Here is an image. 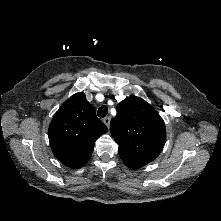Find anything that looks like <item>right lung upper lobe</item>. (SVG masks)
<instances>
[{
  "label": "right lung upper lobe",
  "mask_w": 221,
  "mask_h": 221,
  "mask_svg": "<svg viewBox=\"0 0 221 221\" xmlns=\"http://www.w3.org/2000/svg\"><path fill=\"white\" fill-rule=\"evenodd\" d=\"M107 131L85 94L79 92L65 101L55 113L48 137L55 157L66 166L77 169L88 162L96 139Z\"/></svg>",
  "instance_id": "right-lung-upper-lobe-1"
}]
</instances>
